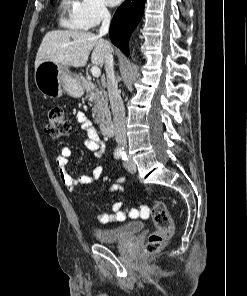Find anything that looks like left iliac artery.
<instances>
[{
    "label": "left iliac artery",
    "instance_id": "44dca946",
    "mask_svg": "<svg viewBox=\"0 0 247 296\" xmlns=\"http://www.w3.org/2000/svg\"><path fill=\"white\" fill-rule=\"evenodd\" d=\"M122 159L123 160H127V157H126V154L125 153L123 154Z\"/></svg>",
    "mask_w": 247,
    "mask_h": 296
}]
</instances>
